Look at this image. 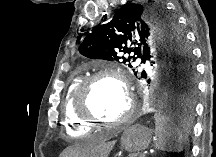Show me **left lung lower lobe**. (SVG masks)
I'll list each match as a JSON object with an SVG mask.
<instances>
[{
  "mask_svg": "<svg viewBox=\"0 0 216 157\" xmlns=\"http://www.w3.org/2000/svg\"><path fill=\"white\" fill-rule=\"evenodd\" d=\"M195 75V68H194ZM197 85H188L177 91L172 83H168L164 87V92L171 100L172 105H175L174 119L175 127L183 134H187L190 129V119L193 113L194 98L196 95ZM193 104V105H192Z\"/></svg>",
  "mask_w": 216,
  "mask_h": 157,
  "instance_id": "1",
  "label": "left lung lower lobe"
}]
</instances>
